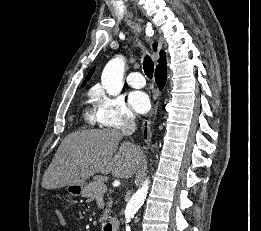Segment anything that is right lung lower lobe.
<instances>
[{
    "mask_svg": "<svg viewBox=\"0 0 261 231\" xmlns=\"http://www.w3.org/2000/svg\"><path fill=\"white\" fill-rule=\"evenodd\" d=\"M166 77H167L166 65L162 66L159 69H156L155 78H156V83L160 89L163 88V86L165 85Z\"/></svg>",
    "mask_w": 261,
    "mask_h": 231,
    "instance_id": "right-lung-lower-lobe-1",
    "label": "right lung lower lobe"
}]
</instances>
